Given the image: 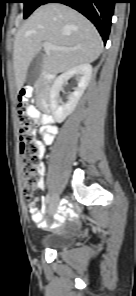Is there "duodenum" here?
Returning <instances> with one entry per match:
<instances>
[{"mask_svg":"<svg viewBox=\"0 0 136 296\" xmlns=\"http://www.w3.org/2000/svg\"><path fill=\"white\" fill-rule=\"evenodd\" d=\"M55 76L49 72L44 73L41 81L40 94H39V107L47 114L48 121L53 122L51 116V100L49 96V89L53 83Z\"/></svg>","mask_w":136,"mask_h":296,"instance_id":"1","label":"duodenum"}]
</instances>
